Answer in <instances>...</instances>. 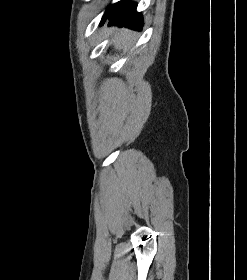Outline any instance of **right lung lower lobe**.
<instances>
[{"instance_id": "obj_1", "label": "right lung lower lobe", "mask_w": 247, "mask_h": 280, "mask_svg": "<svg viewBox=\"0 0 247 280\" xmlns=\"http://www.w3.org/2000/svg\"><path fill=\"white\" fill-rule=\"evenodd\" d=\"M137 4L127 0L110 6L103 16L102 22L109 20V25L126 26L131 29H141L143 19L141 13L136 12Z\"/></svg>"}]
</instances>
